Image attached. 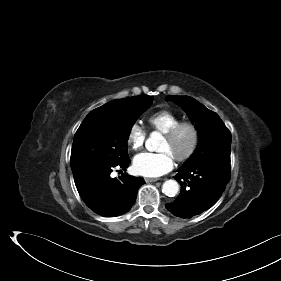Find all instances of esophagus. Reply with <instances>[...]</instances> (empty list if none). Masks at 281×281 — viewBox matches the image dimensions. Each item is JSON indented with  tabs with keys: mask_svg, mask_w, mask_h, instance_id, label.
Segmentation results:
<instances>
[{
	"mask_svg": "<svg viewBox=\"0 0 281 281\" xmlns=\"http://www.w3.org/2000/svg\"><path fill=\"white\" fill-rule=\"evenodd\" d=\"M158 180H160V179L159 178H145L146 182H156Z\"/></svg>",
	"mask_w": 281,
	"mask_h": 281,
	"instance_id": "obj_1",
	"label": "esophagus"
}]
</instances>
